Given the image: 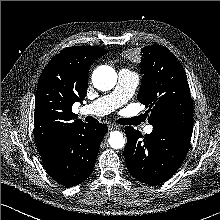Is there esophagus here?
I'll use <instances>...</instances> for the list:
<instances>
[{"instance_id": "1", "label": "esophagus", "mask_w": 220, "mask_h": 220, "mask_svg": "<svg viewBox=\"0 0 220 220\" xmlns=\"http://www.w3.org/2000/svg\"><path fill=\"white\" fill-rule=\"evenodd\" d=\"M117 128H119V126L116 125V124H109V125H108V129H109V130H114V129H117Z\"/></svg>"}]
</instances>
